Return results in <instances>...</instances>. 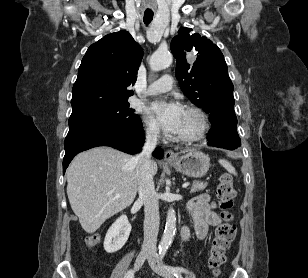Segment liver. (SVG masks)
I'll use <instances>...</instances> for the list:
<instances>
[{
	"mask_svg": "<svg viewBox=\"0 0 308 278\" xmlns=\"http://www.w3.org/2000/svg\"><path fill=\"white\" fill-rule=\"evenodd\" d=\"M136 168L134 156L110 147L92 148L73 159L66 171L67 195L87 233L133 203L138 190ZM157 170L152 161V175Z\"/></svg>",
	"mask_w": 308,
	"mask_h": 278,
	"instance_id": "obj_1",
	"label": "liver"
}]
</instances>
